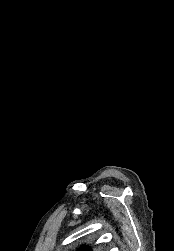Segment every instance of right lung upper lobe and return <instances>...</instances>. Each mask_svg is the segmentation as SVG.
Segmentation results:
<instances>
[{"label": "right lung upper lobe", "instance_id": "cb5924a9", "mask_svg": "<svg viewBox=\"0 0 174 251\" xmlns=\"http://www.w3.org/2000/svg\"><path fill=\"white\" fill-rule=\"evenodd\" d=\"M79 251H92V249L91 248H83V249H81Z\"/></svg>", "mask_w": 174, "mask_h": 251}]
</instances>
